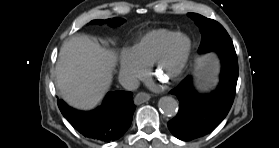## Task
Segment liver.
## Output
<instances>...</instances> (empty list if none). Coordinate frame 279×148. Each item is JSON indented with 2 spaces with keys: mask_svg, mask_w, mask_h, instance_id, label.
I'll list each match as a JSON object with an SVG mask.
<instances>
[{
  "mask_svg": "<svg viewBox=\"0 0 279 148\" xmlns=\"http://www.w3.org/2000/svg\"><path fill=\"white\" fill-rule=\"evenodd\" d=\"M116 55L86 36L72 37L60 49L56 65L61 96L77 108H92L110 86Z\"/></svg>",
  "mask_w": 279,
  "mask_h": 148,
  "instance_id": "6515ba94",
  "label": "liver"
}]
</instances>
